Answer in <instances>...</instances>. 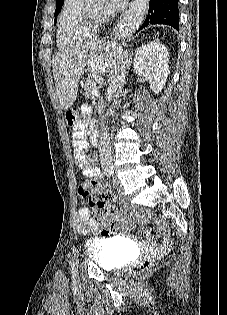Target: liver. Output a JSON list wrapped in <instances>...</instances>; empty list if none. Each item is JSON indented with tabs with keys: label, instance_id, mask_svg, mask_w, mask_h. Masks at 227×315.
<instances>
[{
	"label": "liver",
	"instance_id": "liver-1",
	"mask_svg": "<svg viewBox=\"0 0 227 315\" xmlns=\"http://www.w3.org/2000/svg\"><path fill=\"white\" fill-rule=\"evenodd\" d=\"M121 53L122 47L115 42L93 41L57 54L52 68L61 108L68 110L75 102L80 77L87 67L93 73L112 72Z\"/></svg>",
	"mask_w": 227,
	"mask_h": 315
}]
</instances>
